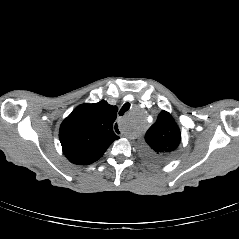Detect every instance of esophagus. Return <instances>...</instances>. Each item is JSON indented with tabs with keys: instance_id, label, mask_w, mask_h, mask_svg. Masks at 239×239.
Returning a JSON list of instances; mask_svg holds the SVG:
<instances>
[{
	"instance_id": "1",
	"label": "esophagus",
	"mask_w": 239,
	"mask_h": 239,
	"mask_svg": "<svg viewBox=\"0 0 239 239\" xmlns=\"http://www.w3.org/2000/svg\"><path fill=\"white\" fill-rule=\"evenodd\" d=\"M113 127H114V130H115V133L117 134V136L119 138H122L124 136V133H123V131L121 129V125L118 122H115L113 124Z\"/></svg>"
}]
</instances>
